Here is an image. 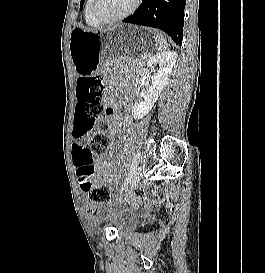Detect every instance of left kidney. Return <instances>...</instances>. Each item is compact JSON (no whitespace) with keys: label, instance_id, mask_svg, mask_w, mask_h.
Returning a JSON list of instances; mask_svg holds the SVG:
<instances>
[{"label":"left kidney","instance_id":"obj_1","mask_svg":"<svg viewBox=\"0 0 265 273\" xmlns=\"http://www.w3.org/2000/svg\"><path fill=\"white\" fill-rule=\"evenodd\" d=\"M176 59V52L165 51L154 55L148 60L147 67L153 68L156 64H159V70L151 76V85L142 90L139 101L132 107L131 113L135 119H140L149 113L166 85Z\"/></svg>","mask_w":265,"mask_h":273}]
</instances>
